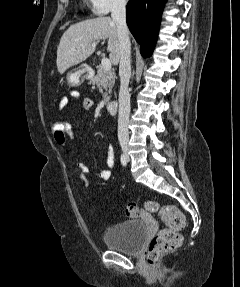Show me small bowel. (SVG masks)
Wrapping results in <instances>:
<instances>
[{
    "mask_svg": "<svg viewBox=\"0 0 240 287\" xmlns=\"http://www.w3.org/2000/svg\"><path fill=\"white\" fill-rule=\"evenodd\" d=\"M69 96L71 97V99L80 102L81 109L83 111L90 110L93 107V105H94V102H93L92 99L87 98V97L81 98L80 93L77 90H75V89H72V90L69 91ZM68 102H69L68 97L67 96H62L60 98V100H59V108H60V110H64L66 108V106L68 105ZM73 136H74V129L71 126L70 133H69V135H68V137L66 139H64V140H57L55 138V141L60 147H62L63 149L67 150V148H68V140L72 139ZM69 156L73 160L74 165L80 170V172H82L83 174L91 173L90 168L86 164H84L83 162H81V161L77 160L76 158H74L73 155L70 152H69ZM106 164L108 166V169H104V170L96 173V175L100 179H102L104 181H107V180H109L111 178V176H112V169H113V167L115 165L114 151H113V148L111 146H108V149H107ZM142 216L145 217V218H148V214L147 213H143Z\"/></svg>",
    "mask_w": 240,
    "mask_h": 287,
    "instance_id": "c3829d8e",
    "label": "small bowel"
}]
</instances>
